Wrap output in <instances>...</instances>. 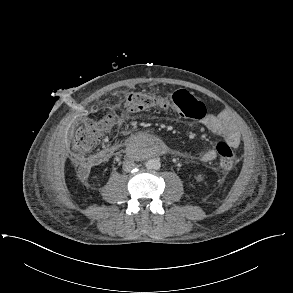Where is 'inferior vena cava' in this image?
<instances>
[{"label": "inferior vena cava", "mask_w": 293, "mask_h": 293, "mask_svg": "<svg viewBox=\"0 0 293 293\" xmlns=\"http://www.w3.org/2000/svg\"><path fill=\"white\" fill-rule=\"evenodd\" d=\"M136 167H137V164L134 161L126 160L123 162V170L125 172H130L131 170H133Z\"/></svg>", "instance_id": "inferior-vena-cava-1"}]
</instances>
